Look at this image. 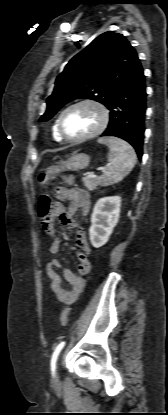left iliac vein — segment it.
<instances>
[{
    "label": "left iliac vein",
    "mask_w": 168,
    "mask_h": 415,
    "mask_svg": "<svg viewBox=\"0 0 168 415\" xmlns=\"http://www.w3.org/2000/svg\"><path fill=\"white\" fill-rule=\"evenodd\" d=\"M54 380L55 381L58 380V370H57V367H55V370H54Z\"/></svg>",
    "instance_id": "1"
}]
</instances>
